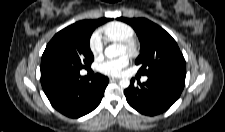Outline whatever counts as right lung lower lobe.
Segmentation results:
<instances>
[{
	"mask_svg": "<svg viewBox=\"0 0 225 132\" xmlns=\"http://www.w3.org/2000/svg\"><path fill=\"white\" fill-rule=\"evenodd\" d=\"M109 79L96 74L92 80L79 73L41 74L43 90L60 113L77 118L94 110L104 95Z\"/></svg>",
	"mask_w": 225,
	"mask_h": 132,
	"instance_id": "right-lung-lower-lobe-1",
	"label": "right lung lower lobe"
}]
</instances>
